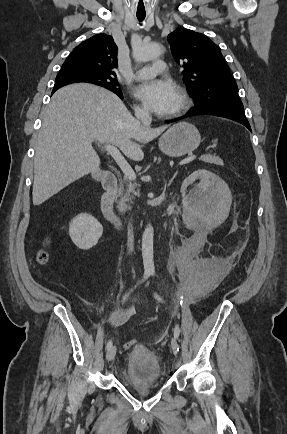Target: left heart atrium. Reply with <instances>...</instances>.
Here are the masks:
<instances>
[{"label": "left heart atrium", "instance_id": "obj_1", "mask_svg": "<svg viewBox=\"0 0 287 434\" xmlns=\"http://www.w3.org/2000/svg\"><path fill=\"white\" fill-rule=\"evenodd\" d=\"M135 94L158 114L172 112L179 97L176 86L171 82L162 80H153L139 85Z\"/></svg>", "mask_w": 287, "mask_h": 434}]
</instances>
